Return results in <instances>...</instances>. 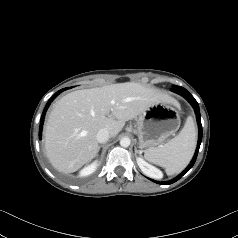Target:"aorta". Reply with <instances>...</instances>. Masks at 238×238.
<instances>
[{
	"label": "aorta",
	"mask_w": 238,
	"mask_h": 238,
	"mask_svg": "<svg viewBox=\"0 0 238 238\" xmlns=\"http://www.w3.org/2000/svg\"><path fill=\"white\" fill-rule=\"evenodd\" d=\"M131 143V140L128 137H124L120 140V145L122 147H128Z\"/></svg>",
	"instance_id": "1"
}]
</instances>
